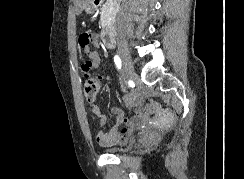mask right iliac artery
Segmentation results:
<instances>
[{
	"instance_id": "82829eb1",
	"label": "right iliac artery",
	"mask_w": 244,
	"mask_h": 179,
	"mask_svg": "<svg viewBox=\"0 0 244 179\" xmlns=\"http://www.w3.org/2000/svg\"><path fill=\"white\" fill-rule=\"evenodd\" d=\"M114 62H115V64H116L117 68H118V69H121V59L119 58L118 55H116V56L114 57Z\"/></svg>"
}]
</instances>
